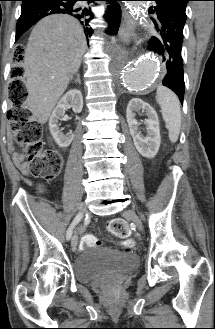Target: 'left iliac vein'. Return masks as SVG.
<instances>
[{
	"instance_id": "1",
	"label": "left iliac vein",
	"mask_w": 215,
	"mask_h": 329,
	"mask_svg": "<svg viewBox=\"0 0 215 329\" xmlns=\"http://www.w3.org/2000/svg\"><path fill=\"white\" fill-rule=\"evenodd\" d=\"M123 216L125 218H128V219L132 220L140 231L143 230L142 222H141L140 218L136 215V213L133 210H127V211H125L123 213Z\"/></svg>"
}]
</instances>
